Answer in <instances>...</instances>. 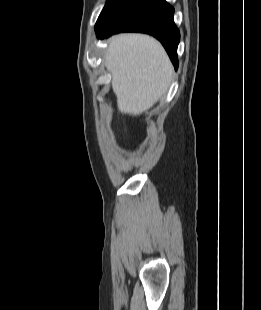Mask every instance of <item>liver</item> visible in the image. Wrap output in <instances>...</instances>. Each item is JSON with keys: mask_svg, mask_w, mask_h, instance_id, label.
Instances as JSON below:
<instances>
[{"mask_svg": "<svg viewBox=\"0 0 261 310\" xmlns=\"http://www.w3.org/2000/svg\"><path fill=\"white\" fill-rule=\"evenodd\" d=\"M105 65L112 75L118 110L140 115L167 91L173 66L162 45L153 37L126 33L108 41Z\"/></svg>", "mask_w": 261, "mask_h": 310, "instance_id": "6515ba94", "label": "liver"}]
</instances>
